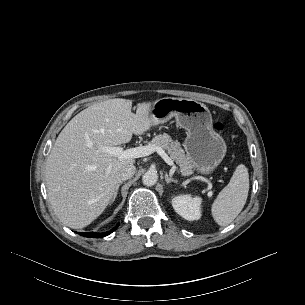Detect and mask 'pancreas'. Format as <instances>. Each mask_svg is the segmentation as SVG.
Instances as JSON below:
<instances>
[{
  "label": "pancreas",
  "instance_id": "pancreas-1",
  "mask_svg": "<svg viewBox=\"0 0 305 305\" xmlns=\"http://www.w3.org/2000/svg\"><path fill=\"white\" fill-rule=\"evenodd\" d=\"M151 145L167 150L171 159L178 164L182 175H190L193 173L194 164L191 159L185 155L180 142L173 141L168 134L163 133L155 136L151 141Z\"/></svg>",
  "mask_w": 305,
  "mask_h": 305
}]
</instances>
